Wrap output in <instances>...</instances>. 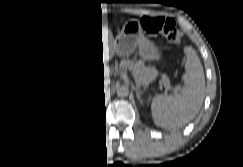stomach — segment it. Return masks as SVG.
Wrapping results in <instances>:
<instances>
[{
    "instance_id": "obj_1",
    "label": "stomach",
    "mask_w": 243,
    "mask_h": 167,
    "mask_svg": "<svg viewBox=\"0 0 243 167\" xmlns=\"http://www.w3.org/2000/svg\"><path fill=\"white\" fill-rule=\"evenodd\" d=\"M117 40L115 48L120 56L129 55L138 48L139 56L144 61L159 62L162 58L159 47L144 36L142 25L137 20L126 22L118 34Z\"/></svg>"
}]
</instances>
